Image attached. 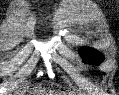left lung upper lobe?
<instances>
[{
    "mask_svg": "<svg viewBox=\"0 0 119 95\" xmlns=\"http://www.w3.org/2000/svg\"><path fill=\"white\" fill-rule=\"evenodd\" d=\"M80 54L86 63H94L98 65L104 59L100 52L92 48H83L80 50Z\"/></svg>",
    "mask_w": 119,
    "mask_h": 95,
    "instance_id": "1",
    "label": "left lung upper lobe"
}]
</instances>
